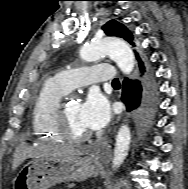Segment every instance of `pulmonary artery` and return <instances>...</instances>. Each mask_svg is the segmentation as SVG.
Wrapping results in <instances>:
<instances>
[{"instance_id":"obj_1","label":"pulmonary artery","mask_w":188,"mask_h":189,"mask_svg":"<svg viewBox=\"0 0 188 189\" xmlns=\"http://www.w3.org/2000/svg\"><path fill=\"white\" fill-rule=\"evenodd\" d=\"M54 79L66 90L84 87L92 83L112 82L116 72L110 64H97L91 67L63 70Z\"/></svg>"}]
</instances>
